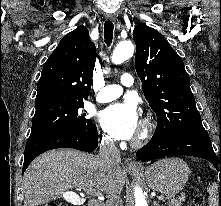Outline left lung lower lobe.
Masks as SVG:
<instances>
[{
	"instance_id": "1",
	"label": "left lung lower lobe",
	"mask_w": 221,
	"mask_h": 206,
	"mask_svg": "<svg viewBox=\"0 0 221 206\" xmlns=\"http://www.w3.org/2000/svg\"><path fill=\"white\" fill-rule=\"evenodd\" d=\"M178 155L200 157L210 161L216 167V169L219 167V161L217 160V156L212 148L211 141L207 133H187L165 138L152 139L136 154L137 158L142 161Z\"/></svg>"
}]
</instances>
